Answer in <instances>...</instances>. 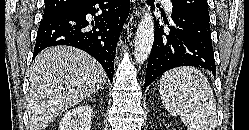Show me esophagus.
<instances>
[{
    "label": "esophagus",
    "mask_w": 249,
    "mask_h": 130,
    "mask_svg": "<svg viewBox=\"0 0 249 130\" xmlns=\"http://www.w3.org/2000/svg\"><path fill=\"white\" fill-rule=\"evenodd\" d=\"M141 2H143L144 0H140ZM141 8H136L135 10H134V14H135V16L136 17H139L140 16V14H141Z\"/></svg>",
    "instance_id": "34e87169"
}]
</instances>
